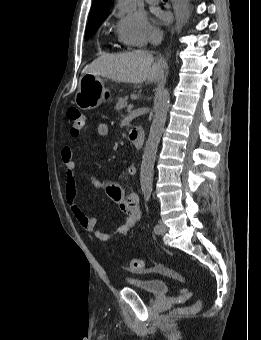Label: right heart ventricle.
Returning <instances> with one entry per match:
<instances>
[{
	"mask_svg": "<svg viewBox=\"0 0 261 340\" xmlns=\"http://www.w3.org/2000/svg\"><path fill=\"white\" fill-rule=\"evenodd\" d=\"M118 42H119V46H127L128 44L123 40L121 39L119 36H118Z\"/></svg>",
	"mask_w": 261,
	"mask_h": 340,
	"instance_id": "e07e8e85",
	"label": "right heart ventricle"
}]
</instances>
